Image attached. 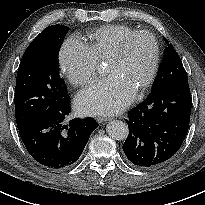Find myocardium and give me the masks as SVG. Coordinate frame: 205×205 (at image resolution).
<instances>
[{
    "instance_id": "myocardium-1",
    "label": "myocardium",
    "mask_w": 205,
    "mask_h": 205,
    "mask_svg": "<svg viewBox=\"0 0 205 205\" xmlns=\"http://www.w3.org/2000/svg\"><path fill=\"white\" fill-rule=\"evenodd\" d=\"M141 36H146L150 38L152 45H153V60H152L151 69L149 71V74L147 78L145 79V81L143 82V84L136 90L137 93H141L144 90H146L153 83L156 77L158 67H159V61H160V45H159V42L156 36L153 33L146 31V30L135 31L131 33L130 35H128L127 37H125V39L121 43L118 50L108 60V62H117V61L122 60L127 54L130 43L134 39L141 37Z\"/></svg>"
}]
</instances>
